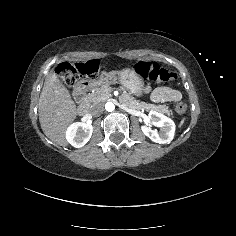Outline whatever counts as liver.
Returning <instances> with one entry per match:
<instances>
[{"label": "liver", "instance_id": "1", "mask_svg": "<svg viewBox=\"0 0 236 236\" xmlns=\"http://www.w3.org/2000/svg\"><path fill=\"white\" fill-rule=\"evenodd\" d=\"M109 73L116 75L117 71ZM38 113L44 134L58 145L67 146L66 130L78 113L69 91L59 81L54 70L46 76L38 102Z\"/></svg>", "mask_w": 236, "mask_h": 236}]
</instances>
